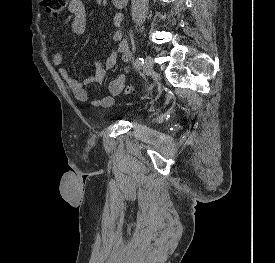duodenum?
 Listing matches in <instances>:
<instances>
[{"instance_id":"duodenum-1","label":"duodenum","mask_w":275,"mask_h":263,"mask_svg":"<svg viewBox=\"0 0 275 263\" xmlns=\"http://www.w3.org/2000/svg\"><path fill=\"white\" fill-rule=\"evenodd\" d=\"M128 0H112V3L116 6V7H124L126 6Z\"/></svg>"}]
</instances>
